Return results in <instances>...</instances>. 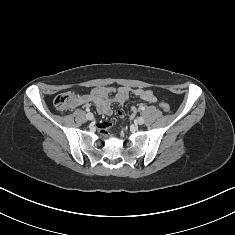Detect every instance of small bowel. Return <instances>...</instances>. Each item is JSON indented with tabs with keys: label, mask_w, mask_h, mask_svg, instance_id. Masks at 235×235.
I'll return each mask as SVG.
<instances>
[{
	"label": "small bowel",
	"mask_w": 235,
	"mask_h": 235,
	"mask_svg": "<svg viewBox=\"0 0 235 235\" xmlns=\"http://www.w3.org/2000/svg\"><path fill=\"white\" fill-rule=\"evenodd\" d=\"M130 94H134L140 99L148 102L155 103L156 97L151 90H145L141 88L130 89L128 87H121L119 89L108 88V87H98L93 89L90 93L84 94L79 97V103L92 102L99 113L104 115H111L112 113V103H118L120 105L125 104L130 97ZM136 113V108H131V115L134 116ZM117 114L122 117L123 113L118 111ZM108 126L107 122H100L97 127L99 130H105Z\"/></svg>",
	"instance_id": "c3829d8e"
}]
</instances>
